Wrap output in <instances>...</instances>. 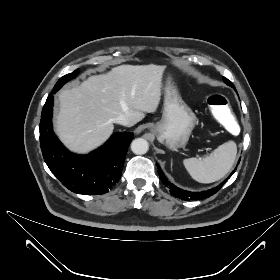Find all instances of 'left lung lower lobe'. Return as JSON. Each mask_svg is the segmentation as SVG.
<instances>
[{
	"mask_svg": "<svg viewBox=\"0 0 280 280\" xmlns=\"http://www.w3.org/2000/svg\"><path fill=\"white\" fill-rule=\"evenodd\" d=\"M157 168H158V174L160 176L161 181L165 184L166 187H168L170 189L171 195H173L176 198L183 199V200H200V199L208 198V197L212 196L213 194H215L217 191H219L220 188L224 184V182H223L215 188L209 189L207 191H202V192L185 191V190L177 188L176 186L171 184L167 180V178L164 176V174L162 173V171L158 165H157ZM235 170H236V168H235ZM235 170H233V172L230 174V176L228 178H230L233 175Z\"/></svg>",
	"mask_w": 280,
	"mask_h": 280,
	"instance_id": "1",
	"label": "left lung lower lobe"
}]
</instances>
